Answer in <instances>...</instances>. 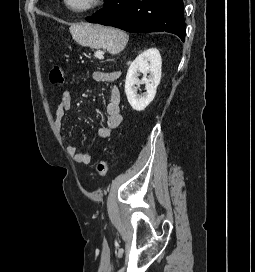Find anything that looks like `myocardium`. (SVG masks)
<instances>
[{
	"mask_svg": "<svg viewBox=\"0 0 255 272\" xmlns=\"http://www.w3.org/2000/svg\"><path fill=\"white\" fill-rule=\"evenodd\" d=\"M63 2L65 6L73 13L82 14L98 9L100 6L103 5L104 0H90L87 5L82 7L74 6L71 0H63Z\"/></svg>",
	"mask_w": 255,
	"mask_h": 272,
	"instance_id": "1",
	"label": "myocardium"
}]
</instances>
